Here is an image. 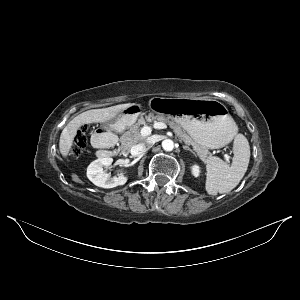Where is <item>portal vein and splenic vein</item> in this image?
<instances>
[{
	"label": "portal vein and splenic vein",
	"mask_w": 300,
	"mask_h": 300,
	"mask_svg": "<svg viewBox=\"0 0 300 300\" xmlns=\"http://www.w3.org/2000/svg\"><path fill=\"white\" fill-rule=\"evenodd\" d=\"M153 127L155 129H166L167 125L163 122H155ZM152 128L150 126H144L141 130L143 136H149L151 134Z\"/></svg>",
	"instance_id": "portal-vein-and-splenic-vein-1"
}]
</instances>
